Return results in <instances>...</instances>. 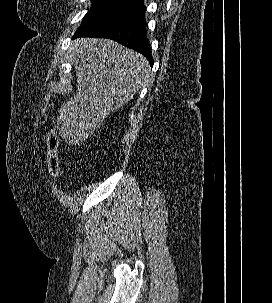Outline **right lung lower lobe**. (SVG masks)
I'll use <instances>...</instances> for the list:
<instances>
[{
    "label": "right lung lower lobe",
    "mask_w": 272,
    "mask_h": 303,
    "mask_svg": "<svg viewBox=\"0 0 272 303\" xmlns=\"http://www.w3.org/2000/svg\"><path fill=\"white\" fill-rule=\"evenodd\" d=\"M145 10L112 23H107L88 32L76 33L77 37L108 38L122 45L140 52L149 60L151 66L153 59L150 45L146 36Z\"/></svg>",
    "instance_id": "right-lung-lower-lobe-1"
}]
</instances>
